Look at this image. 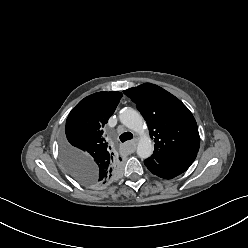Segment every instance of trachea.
<instances>
[{
	"mask_svg": "<svg viewBox=\"0 0 248 248\" xmlns=\"http://www.w3.org/2000/svg\"><path fill=\"white\" fill-rule=\"evenodd\" d=\"M121 142H125L127 140H131L133 138V134L131 132H125L120 135Z\"/></svg>",
	"mask_w": 248,
	"mask_h": 248,
	"instance_id": "trachea-1",
	"label": "trachea"
}]
</instances>
